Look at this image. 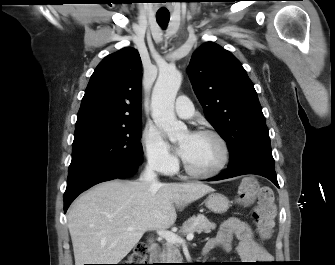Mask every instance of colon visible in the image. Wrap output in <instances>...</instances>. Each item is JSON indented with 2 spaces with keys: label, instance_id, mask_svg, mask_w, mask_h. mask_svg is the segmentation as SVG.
Wrapping results in <instances>:
<instances>
[{
  "label": "colon",
  "instance_id": "1",
  "mask_svg": "<svg viewBox=\"0 0 335 265\" xmlns=\"http://www.w3.org/2000/svg\"><path fill=\"white\" fill-rule=\"evenodd\" d=\"M237 197L243 205L255 203L254 219L258 233L263 239L270 238L277 214L273 190L261 185L254 177H246L239 186ZM147 256V247L139 244L128 257V264L123 265H147Z\"/></svg>",
  "mask_w": 335,
  "mask_h": 265
}]
</instances>
